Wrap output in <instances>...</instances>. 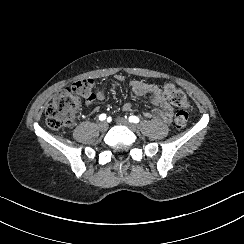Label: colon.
Listing matches in <instances>:
<instances>
[{"mask_svg":"<svg viewBox=\"0 0 244 244\" xmlns=\"http://www.w3.org/2000/svg\"><path fill=\"white\" fill-rule=\"evenodd\" d=\"M94 83L91 79H83L72 86L63 88L53 99L46 110V124L55 131H62L71 127L76 122V114L85 99L94 97ZM164 96L174 105L180 108L189 106L187 95L172 84H166L163 88ZM189 115L186 111L179 110L175 113L174 125L183 129L187 126Z\"/></svg>","mask_w":244,"mask_h":244,"instance_id":"colon-1","label":"colon"}]
</instances>
